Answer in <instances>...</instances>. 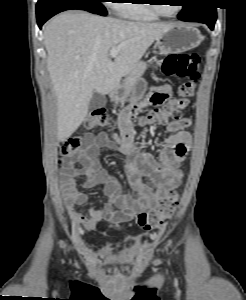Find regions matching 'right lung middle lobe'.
Segmentation results:
<instances>
[{
	"label": "right lung middle lobe",
	"mask_w": 246,
	"mask_h": 300,
	"mask_svg": "<svg viewBox=\"0 0 246 300\" xmlns=\"http://www.w3.org/2000/svg\"><path fill=\"white\" fill-rule=\"evenodd\" d=\"M103 0H38L36 11L44 10L46 7L56 3H76L84 7L86 11L99 14L102 16L107 15L106 8L101 3Z\"/></svg>",
	"instance_id": "obj_1"
}]
</instances>
